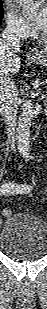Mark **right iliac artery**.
Wrapping results in <instances>:
<instances>
[{
	"label": "right iliac artery",
	"mask_w": 47,
	"mask_h": 309,
	"mask_svg": "<svg viewBox=\"0 0 47 309\" xmlns=\"http://www.w3.org/2000/svg\"><path fill=\"white\" fill-rule=\"evenodd\" d=\"M31 186L27 184H6L2 187V194L10 195V194H23L28 193L31 190Z\"/></svg>",
	"instance_id": "obj_1"
}]
</instances>
